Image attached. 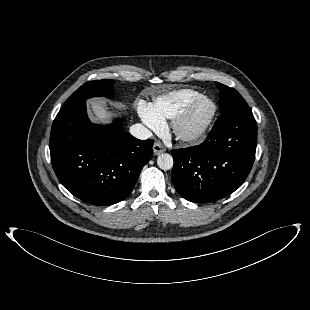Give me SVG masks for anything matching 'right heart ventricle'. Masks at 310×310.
I'll use <instances>...</instances> for the list:
<instances>
[{
  "label": "right heart ventricle",
  "instance_id": "obj_1",
  "mask_svg": "<svg viewBox=\"0 0 310 310\" xmlns=\"http://www.w3.org/2000/svg\"><path fill=\"white\" fill-rule=\"evenodd\" d=\"M199 96L201 93L193 89L174 90L155 97L150 109L163 121L174 119L190 101Z\"/></svg>",
  "mask_w": 310,
  "mask_h": 310
}]
</instances>
